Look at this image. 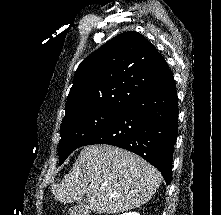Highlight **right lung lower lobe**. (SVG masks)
<instances>
[{
	"label": "right lung lower lobe",
	"mask_w": 221,
	"mask_h": 215,
	"mask_svg": "<svg viewBox=\"0 0 221 215\" xmlns=\"http://www.w3.org/2000/svg\"><path fill=\"white\" fill-rule=\"evenodd\" d=\"M171 76L158 90L137 101L85 145L109 144L134 152L154 165L166 183L178 133V103Z\"/></svg>",
	"instance_id": "98d812e1"
}]
</instances>
